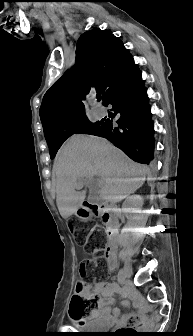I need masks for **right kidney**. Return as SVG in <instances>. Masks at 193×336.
<instances>
[{"mask_svg":"<svg viewBox=\"0 0 193 336\" xmlns=\"http://www.w3.org/2000/svg\"><path fill=\"white\" fill-rule=\"evenodd\" d=\"M143 205V197L140 195H132L126 198L124 207L129 210L137 211Z\"/></svg>","mask_w":193,"mask_h":336,"instance_id":"1","label":"right kidney"}]
</instances>
